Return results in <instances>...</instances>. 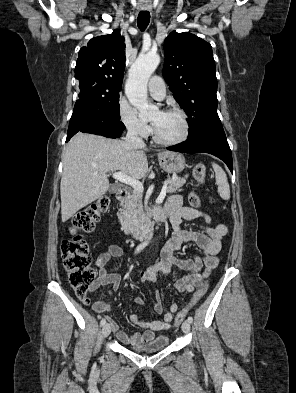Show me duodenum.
Returning a JSON list of instances; mask_svg holds the SVG:
<instances>
[{
	"instance_id": "obj_1",
	"label": "duodenum",
	"mask_w": 296,
	"mask_h": 393,
	"mask_svg": "<svg viewBox=\"0 0 296 393\" xmlns=\"http://www.w3.org/2000/svg\"><path fill=\"white\" fill-rule=\"evenodd\" d=\"M127 194L126 189H119L116 193V200L118 202L125 200ZM167 219L168 216L164 209L157 206L150 207L146 212L145 222L141 225V227L135 230V233L143 236L144 238H149L153 232V223L155 221H165Z\"/></svg>"
}]
</instances>
